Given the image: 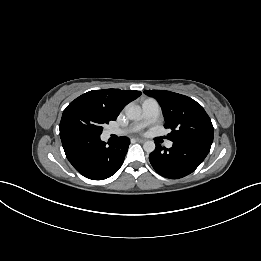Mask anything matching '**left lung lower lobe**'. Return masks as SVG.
Masks as SVG:
<instances>
[{"label": "left lung lower lobe", "instance_id": "1", "mask_svg": "<svg viewBox=\"0 0 261 261\" xmlns=\"http://www.w3.org/2000/svg\"><path fill=\"white\" fill-rule=\"evenodd\" d=\"M156 144L149 160L155 171L163 177L179 179L192 173L205 159L211 145L198 142H173L169 149Z\"/></svg>", "mask_w": 261, "mask_h": 261}]
</instances>
